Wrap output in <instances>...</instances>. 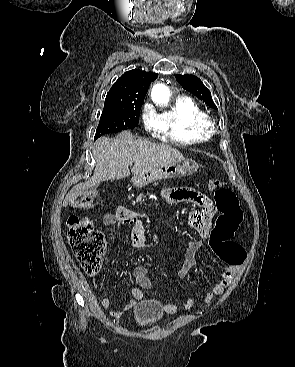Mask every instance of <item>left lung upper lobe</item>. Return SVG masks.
Returning a JSON list of instances; mask_svg holds the SVG:
<instances>
[{
	"label": "left lung upper lobe",
	"instance_id": "5c2ea615",
	"mask_svg": "<svg viewBox=\"0 0 295 367\" xmlns=\"http://www.w3.org/2000/svg\"><path fill=\"white\" fill-rule=\"evenodd\" d=\"M176 79L181 84V86L186 90L194 94L196 97L205 102L209 107L217 108L214 104L211 92L204 86L202 81L194 75H176Z\"/></svg>",
	"mask_w": 295,
	"mask_h": 367
}]
</instances>
